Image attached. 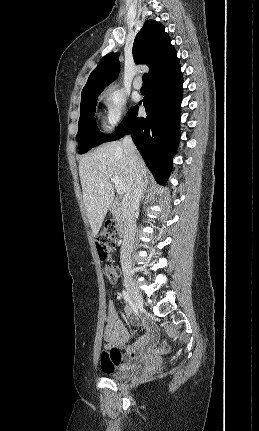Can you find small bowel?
<instances>
[{
	"instance_id": "1",
	"label": "small bowel",
	"mask_w": 259,
	"mask_h": 431,
	"mask_svg": "<svg viewBox=\"0 0 259 431\" xmlns=\"http://www.w3.org/2000/svg\"><path fill=\"white\" fill-rule=\"evenodd\" d=\"M130 313V310H126ZM142 326L147 333L136 343L127 344L130 339V333L118 319V313L113 301L108 303L106 327L104 330V340L106 347L101 354V369L106 373L119 367L127 366L132 360L137 359L141 354V348L148 343L153 342L155 338V329L148 323L143 322ZM125 347V352L121 349Z\"/></svg>"
}]
</instances>
